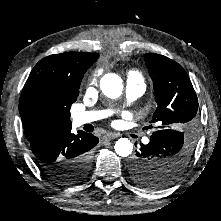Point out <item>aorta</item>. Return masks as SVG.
<instances>
[{"label":"aorta","instance_id":"aorta-1","mask_svg":"<svg viewBox=\"0 0 221 221\" xmlns=\"http://www.w3.org/2000/svg\"><path fill=\"white\" fill-rule=\"evenodd\" d=\"M100 88L105 96L118 98L123 90L122 79L117 74L108 73L101 78ZM115 151L119 156L127 157L133 151V144L127 138H120L115 143Z\"/></svg>","mask_w":221,"mask_h":221}]
</instances>
